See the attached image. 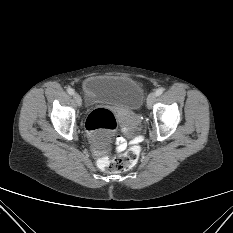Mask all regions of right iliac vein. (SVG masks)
Segmentation results:
<instances>
[{"instance_id": "right-iliac-vein-1", "label": "right iliac vein", "mask_w": 233, "mask_h": 233, "mask_svg": "<svg viewBox=\"0 0 233 233\" xmlns=\"http://www.w3.org/2000/svg\"><path fill=\"white\" fill-rule=\"evenodd\" d=\"M74 99L76 100L79 106L82 104L81 96L78 93H74Z\"/></svg>"}]
</instances>
